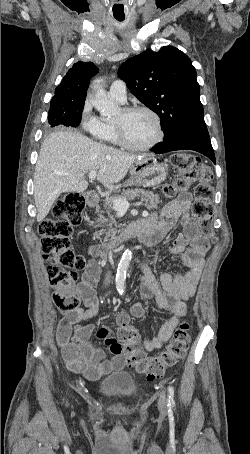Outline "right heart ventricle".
Wrapping results in <instances>:
<instances>
[{
    "instance_id": "1",
    "label": "right heart ventricle",
    "mask_w": 250,
    "mask_h": 454,
    "mask_svg": "<svg viewBox=\"0 0 250 454\" xmlns=\"http://www.w3.org/2000/svg\"><path fill=\"white\" fill-rule=\"evenodd\" d=\"M95 136L101 142L112 144L118 143L113 122L101 121L100 130Z\"/></svg>"
}]
</instances>
